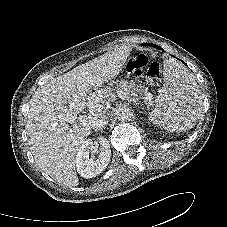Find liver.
I'll return each mask as SVG.
<instances>
[{
  "label": "liver",
  "instance_id": "6515ba94",
  "mask_svg": "<svg viewBox=\"0 0 227 227\" xmlns=\"http://www.w3.org/2000/svg\"><path fill=\"white\" fill-rule=\"evenodd\" d=\"M131 48L121 46L73 70L53 78L30 99L26 131L28 143L41 170L66 187L79 184L75 158L91 125H77V115L86 107L91 118L103 109L97 90L122 70ZM91 89L97 92L90 94Z\"/></svg>",
  "mask_w": 227,
  "mask_h": 227
}]
</instances>
